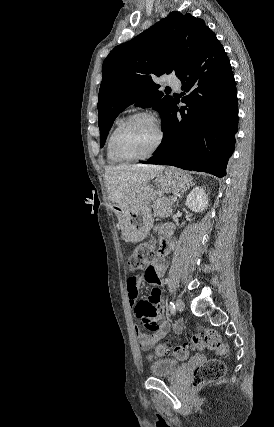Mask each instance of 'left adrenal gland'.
Listing matches in <instances>:
<instances>
[{"label":"left adrenal gland","mask_w":274,"mask_h":427,"mask_svg":"<svg viewBox=\"0 0 274 427\" xmlns=\"http://www.w3.org/2000/svg\"><path fill=\"white\" fill-rule=\"evenodd\" d=\"M184 192H186V190H183V192H181V194H179V196H178V200H177V202H176V206H178V204H179V200H180V198H182V196H183Z\"/></svg>","instance_id":"left-adrenal-gland-1"}]
</instances>
